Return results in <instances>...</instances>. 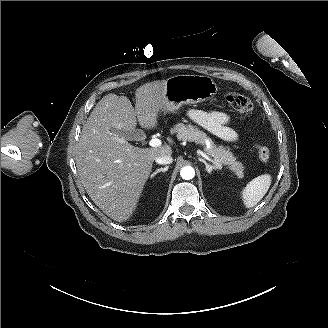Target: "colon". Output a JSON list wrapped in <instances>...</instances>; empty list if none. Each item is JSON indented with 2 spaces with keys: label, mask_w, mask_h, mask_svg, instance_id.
<instances>
[{
  "label": "colon",
  "mask_w": 328,
  "mask_h": 328,
  "mask_svg": "<svg viewBox=\"0 0 328 328\" xmlns=\"http://www.w3.org/2000/svg\"><path fill=\"white\" fill-rule=\"evenodd\" d=\"M225 99H226V102L232 108H234L236 111H238L244 115L251 114V112L253 110V104H252L251 100L248 97H246L242 94H239L237 92H228L225 96ZM254 151L260 161H262V162L269 161V159L271 157V153H270V150L268 147H266L260 143H256L254 145Z\"/></svg>",
  "instance_id": "obj_1"
}]
</instances>
